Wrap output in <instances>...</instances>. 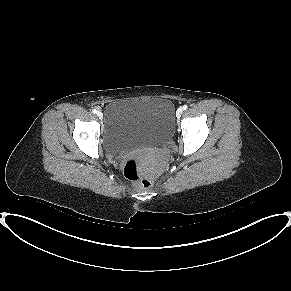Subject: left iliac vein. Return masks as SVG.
Instances as JSON below:
<instances>
[{
  "label": "left iliac vein",
  "instance_id": "obj_1",
  "mask_svg": "<svg viewBox=\"0 0 291 291\" xmlns=\"http://www.w3.org/2000/svg\"><path fill=\"white\" fill-rule=\"evenodd\" d=\"M182 113H183V109H182V108H179V109L176 111V116H177V118H180L181 115H182Z\"/></svg>",
  "mask_w": 291,
  "mask_h": 291
}]
</instances>
